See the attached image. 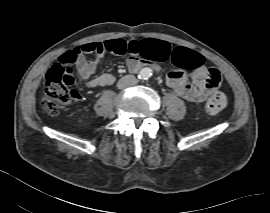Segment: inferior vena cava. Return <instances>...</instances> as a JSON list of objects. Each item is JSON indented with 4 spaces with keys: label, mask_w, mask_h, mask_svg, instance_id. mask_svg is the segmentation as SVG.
Instances as JSON below:
<instances>
[{
    "label": "inferior vena cava",
    "mask_w": 270,
    "mask_h": 213,
    "mask_svg": "<svg viewBox=\"0 0 270 213\" xmlns=\"http://www.w3.org/2000/svg\"><path fill=\"white\" fill-rule=\"evenodd\" d=\"M137 83V79L133 75H126L119 81V88H126Z\"/></svg>",
    "instance_id": "inferior-vena-cava-1"
}]
</instances>
